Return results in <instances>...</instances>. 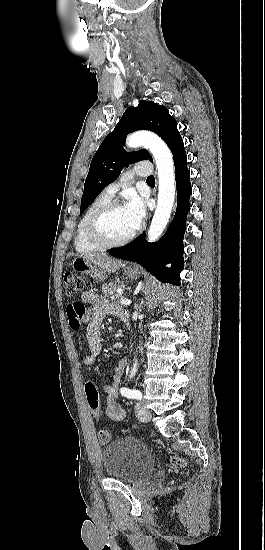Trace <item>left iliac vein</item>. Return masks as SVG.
Segmentation results:
<instances>
[{
	"mask_svg": "<svg viewBox=\"0 0 265 550\" xmlns=\"http://www.w3.org/2000/svg\"><path fill=\"white\" fill-rule=\"evenodd\" d=\"M135 412L138 419L142 422H149L151 420L150 410L144 406L141 402H137L135 405Z\"/></svg>",
	"mask_w": 265,
	"mask_h": 550,
	"instance_id": "obj_1",
	"label": "left iliac vein"
}]
</instances>
